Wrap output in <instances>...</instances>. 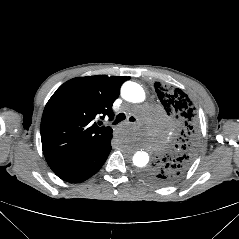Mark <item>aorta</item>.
I'll use <instances>...</instances> for the list:
<instances>
[{
	"mask_svg": "<svg viewBox=\"0 0 239 239\" xmlns=\"http://www.w3.org/2000/svg\"><path fill=\"white\" fill-rule=\"evenodd\" d=\"M122 97L133 103H139L144 101L145 92L143 88L135 82H125L121 88ZM151 151L149 148H141L136 150L132 156V162L136 167L143 168L145 167L151 158Z\"/></svg>",
	"mask_w": 239,
	"mask_h": 239,
	"instance_id": "aorta-1",
	"label": "aorta"
}]
</instances>
